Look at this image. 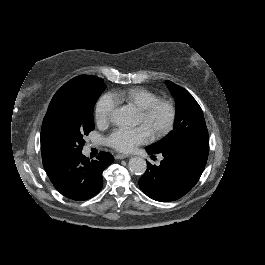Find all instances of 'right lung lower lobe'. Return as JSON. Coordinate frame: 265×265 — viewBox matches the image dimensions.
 <instances>
[{"mask_svg":"<svg viewBox=\"0 0 265 265\" xmlns=\"http://www.w3.org/2000/svg\"><path fill=\"white\" fill-rule=\"evenodd\" d=\"M113 161V156L107 152H100L97 160L92 161L80 153L44 168L56 190L69 199L82 201L101 190L102 172Z\"/></svg>","mask_w":265,"mask_h":265,"instance_id":"1","label":"right lung lower lobe"}]
</instances>
